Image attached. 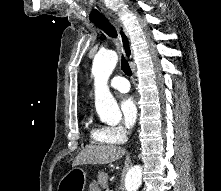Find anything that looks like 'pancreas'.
Instances as JSON below:
<instances>
[{
  "label": "pancreas",
  "instance_id": "pancreas-1",
  "mask_svg": "<svg viewBox=\"0 0 221 191\" xmlns=\"http://www.w3.org/2000/svg\"><path fill=\"white\" fill-rule=\"evenodd\" d=\"M98 183L102 188L104 189L108 188V174L105 172H99Z\"/></svg>",
  "mask_w": 221,
  "mask_h": 191
}]
</instances>
